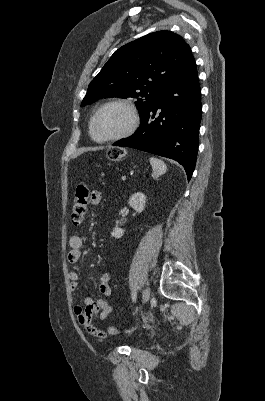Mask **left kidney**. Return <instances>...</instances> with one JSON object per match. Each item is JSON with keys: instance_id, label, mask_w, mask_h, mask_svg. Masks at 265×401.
<instances>
[{"instance_id": "5707ae66", "label": "left kidney", "mask_w": 265, "mask_h": 401, "mask_svg": "<svg viewBox=\"0 0 265 401\" xmlns=\"http://www.w3.org/2000/svg\"><path fill=\"white\" fill-rule=\"evenodd\" d=\"M145 203L146 196L144 192H134V194H131L128 201V205H130V207H132L136 213H142V211H144ZM124 233V229H113L111 237H115V239H121Z\"/></svg>"}]
</instances>
